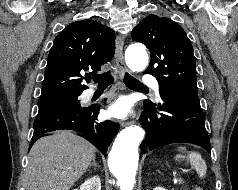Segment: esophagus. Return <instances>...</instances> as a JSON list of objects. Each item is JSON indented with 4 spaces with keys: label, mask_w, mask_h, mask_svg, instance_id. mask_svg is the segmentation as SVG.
<instances>
[{
    "label": "esophagus",
    "mask_w": 238,
    "mask_h": 190,
    "mask_svg": "<svg viewBox=\"0 0 238 190\" xmlns=\"http://www.w3.org/2000/svg\"><path fill=\"white\" fill-rule=\"evenodd\" d=\"M123 45H124V37L122 35H118L116 37V50H115V62H116V67L121 76L124 75V73L127 70V67L124 62V56H123ZM132 121H127V122H122L121 126L125 127L127 125L132 124Z\"/></svg>",
    "instance_id": "1"
}]
</instances>
